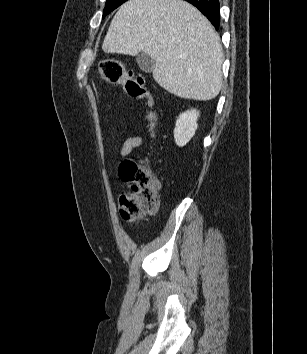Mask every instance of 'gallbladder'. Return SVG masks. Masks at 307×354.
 Wrapping results in <instances>:
<instances>
[{
	"mask_svg": "<svg viewBox=\"0 0 307 354\" xmlns=\"http://www.w3.org/2000/svg\"><path fill=\"white\" fill-rule=\"evenodd\" d=\"M136 60L139 68L142 71L146 73H150L153 71L155 62L147 53H140L137 56Z\"/></svg>",
	"mask_w": 307,
	"mask_h": 354,
	"instance_id": "bac80fb5",
	"label": "gallbladder"
}]
</instances>
